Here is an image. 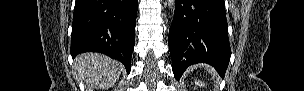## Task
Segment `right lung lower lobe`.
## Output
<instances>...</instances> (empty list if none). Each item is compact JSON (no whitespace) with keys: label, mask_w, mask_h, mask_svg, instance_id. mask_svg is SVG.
<instances>
[{"label":"right lung lower lobe","mask_w":304,"mask_h":91,"mask_svg":"<svg viewBox=\"0 0 304 91\" xmlns=\"http://www.w3.org/2000/svg\"><path fill=\"white\" fill-rule=\"evenodd\" d=\"M137 0H76L71 55L99 52L131 70L135 43Z\"/></svg>","instance_id":"98d812e1"}]
</instances>
